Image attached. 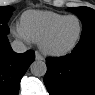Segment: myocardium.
Returning <instances> with one entry per match:
<instances>
[{
	"mask_svg": "<svg viewBox=\"0 0 95 95\" xmlns=\"http://www.w3.org/2000/svg\"><path fill=\"white\" fill-rule=\"evenodd\" d=\"M69 18H75L79 22V33L76 38V40L68 47L63 49H57L53 48L49 45V41L54 35V33L58 30V28L63 24L64 21H66ZM84 27L82 20L77 15H65L62 19H60L58 22H56L41 38L39 41V47L40 49L47 55L54 56V57H60L69 54L71 51H73L76 46L79 44L82 35H83Z\"/></svg>",
	"mask_w": 95,
	"mask_h": 95,
	"instance_id": "f54148a6",
	"label": "myocardium"
}]
</instances>
